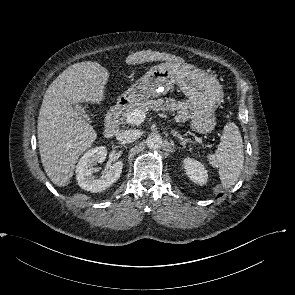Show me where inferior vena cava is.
Instances as JSON below:
<instances>
[{
	"label": "inferior vena cava",
	"instance_id": "602c4592",
	"mask_svg": "<svg viewBox=\"0 0 295 295\" xmlns=\"http://www.w3.org/2000/svg\"><path fill=\"white\" fill-rule=\"evenodd\" d=\"M140 137V132L138 130H122L117 133V140L122 143H131Z\"/></svg>",
	"mask_w": 295,
	"mask_h": 295
}]
</instances>
